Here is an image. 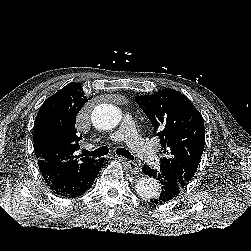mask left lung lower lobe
Here are the masks:
<instances>
[{
    "label": "left lung lower lobe",
    "instance_id": "obj_1",
    "mask_svg": "<svg viewBox=\"0 0 251 251\" xmlns=\"http://www.w3.org/2000/svg\"><path fill=\"white\" fill-rule=\"evenodd\" d=\"M143 173L157 178L162 186L159 194L151 199L152 203H165L176 197L180 191L186 186V182L173 173L171 170L160 166V169H151L148 165L142 167Z\"/></svg>",
    "mask_w": 251,
    "mask_h": 251
}]
</instances>
